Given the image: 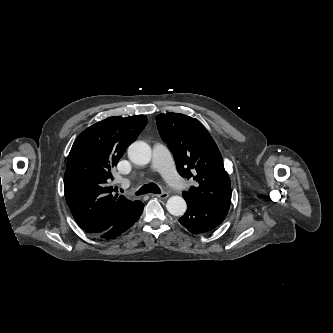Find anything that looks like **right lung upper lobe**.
<instances>
[{
  "instance_id": "right-lung-upper-lobe-1",
  "label": "right lung upper lobe",
  "mask_w": 333,
  "mask_h": 333,
  "mask_svg": "<svg viewBox=\"0 0 333 333\" xmlns=\"http://www.w3.org/2000/svg\"><path fill=\"white\" fill-rule=\"evenodd\" d=\"M147 124L145 115L109 117L84 130L68 155L64 174L66 202L77 224L93 236L105 232L140 201L113 196L112 168Z\"/></svg>"
}]
</instances>
